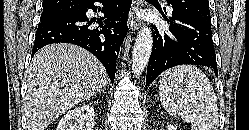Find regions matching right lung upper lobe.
Returning a JSON list of instances; mask_svg holds the SVG:
<instances>
[{
	"label": "right lung upper lobe",
	"instance_id": "right-lung-upper-lobe-1",
	"mask_svg": "<svg viewBox=\"0 0 249 130\" xmlns=\"http://www.w3.org/2000/svg\"><path fill=\"white\" fill-rule=\"evenodd\" d=\"M87 0H44L43 12L71 11L81 8Z\"/></svg>",
	"mask_w": 249,
	"mask_h": 130
}]
</instances>
